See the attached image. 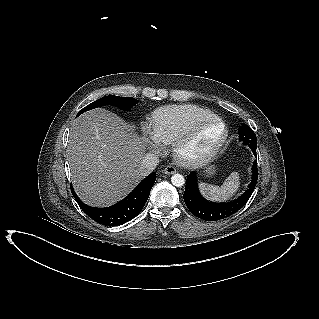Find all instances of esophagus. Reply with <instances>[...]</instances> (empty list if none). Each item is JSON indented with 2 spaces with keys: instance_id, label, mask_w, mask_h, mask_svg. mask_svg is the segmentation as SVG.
<instances>
[{
  "instance_id": "1",
  "label": "esophagus",
  "mask_w": 319,
  "mask_h": 319,
  "mask_svg": "<svg viewBox=\"0 0 319 319\" xmlns=\"http://www.w3.org/2000/svg\"><path fill=\"white\" fill-rule=\"evenodd\" d=\"M164 173H165V174H168V175L174 174V173H176V168L173 167V166H171V165H168V166L164 169Z\"/></svg>"
}]
</instances>
